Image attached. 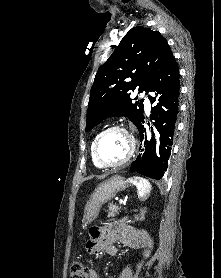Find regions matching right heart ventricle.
Wrapping results in <instances>:
<instances>
[{
    "label": "right heart ventricle",
    "mask_w": 221,
    "mask_h": 278,
    "mask_svg": "<svg viewBox=\"0 0 221 278\" xmlns=\"http://www.w3.org/2000/svg\"><path fill=\"white\" fill-rule=\"evenodd\" d=\"M96 138V137H95ZM95 138L93 139L92 143H91V146H90V153H91V158H92V161L94 163L95 166L99 167V165L95 162L94 160V157H93V143H94V140Z\"/></svg>",
    "instance_id": "e07e8e85"
}]
</instances>
